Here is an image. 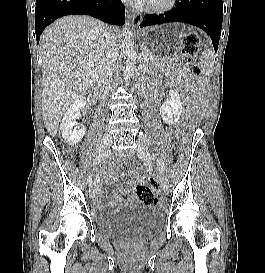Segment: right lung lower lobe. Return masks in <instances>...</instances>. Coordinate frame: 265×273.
Returning a JSON list of instances; mask_svg holds the SVG:
<instances>
[{"instance_id":"1","label":"right lung lower lobe","mask_w":265,"mask_h":273,"mask_svg":"<svg viewBox=\"0 0 265 273\" xmlns=\"http://www.w3.org/2000/svg\"><path fill=\"white\" fill-rule=\"evenodd\" d=\"M66 15H90L118 26L125 22V8L120 0H36L37 41L49 24Z\"/></svg>"}]
</instances>
